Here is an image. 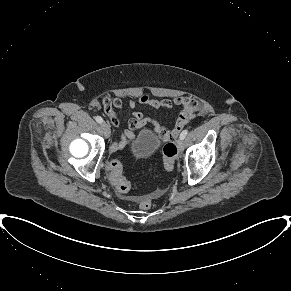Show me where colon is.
<instances>
[{
	"mask_svg": "<svg viewBox=\"0 0 291 291\" xmlns=\"http://www.w3.org/2000/svg\"><path fill=\"white\" fill-rule=\"evenodd\" d=\"M163 166L166 171H172L175 166L177 158V147L173 142H168L163 146ZM109 178L115 189L121 193L125 194L131 189L130 182L126 179L123 174V167L119 160H111L108 164ZM153 202L150 196L142 197L138 206L141 210H148L152 207Z\"/></svg>",
	"mask_w": 291,
	"mask_h": 291,
	"instance_id": "5ec220e1",
	"label": "colon"
}]
</instances>
